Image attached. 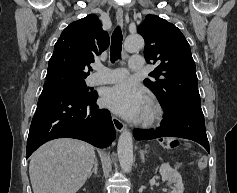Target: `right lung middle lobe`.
<instances>
[{
	"mask_svg": "<svg viewBox=\"0 0 237 193\" xmlns=\"http://www.w3.org/2000/svg\"><path fill=\"white\" fill-rule=\"evenodd\" d=\"M44 88L62 89L75 97H87L90 95L84 78L71 76L60 71H47Z\"/></svg>",
	"mask_w": 237,
	"mask_h": 193,
	"instance_id": "dd1d6c3e",
	"label": "right lung middle lobe"
}]
</instances>
